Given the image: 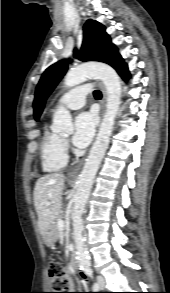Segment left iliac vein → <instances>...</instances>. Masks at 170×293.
I'll return each mask as SVG.
<instances>
[{
    "instance_id": "4c4485c4",
    "label": "left iliac vein",
    "mask_w": 170,
    "mask_h": 293,
    "mask_svg": "<svg viewBox=\"0 0 170 293\" xmlns=\"http://www.w3.org/2000/svg\"><path fill=\"white\" fill-rule=\"evenodd\" d=\"M97 281H98L100 289H104L105 288V278L102 275H98Z\"/></svg>"
}]
</instances>
